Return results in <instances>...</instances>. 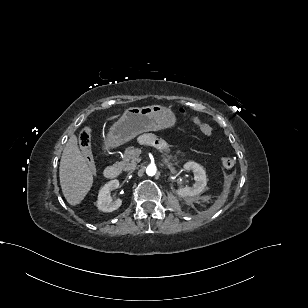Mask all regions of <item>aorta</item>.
Listing matches in <instances>:
<instances>
[{"mask_svg": "<svg viewBox=\"0 0 308 308\" xmlns=\"http://www.w3.org/2000/svg\"><path fill=\"white\" fill-rule=\"evenodd\" d=\"M157 168L154 164H150L146 168V173L149 176H154L156 174Z\"/></svg>", "mask_w": 308, "mask_h": 308, "instance_id": "762f6f07", "label": "aorta"}]
</instances>
